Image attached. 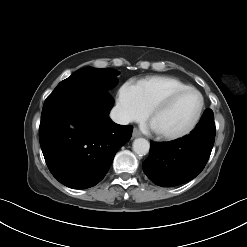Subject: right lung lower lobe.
<instances>
[{
  "label": "right lung lower lobe",
  "mask_w": 247,
  "mask_h": 247,
  "mask_svg": "<svg viewBox=\"0 0 247 247\" xmlns=\"http://www.w3.org/2000/svg\"><path fill=\"white\" fill-rule=\"evenodd\" d=\"M113 104L107 91L100 89L66 90L45 100L40 146L50 172L65 186L96 185L131 138V125H118L108 117Z\"/></svg>",
  "instance_id": "obj_1"
}]
</instances>
